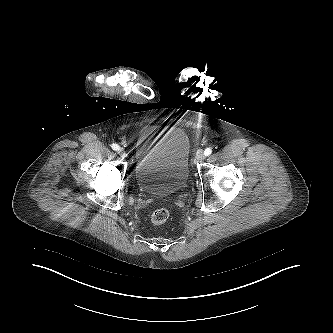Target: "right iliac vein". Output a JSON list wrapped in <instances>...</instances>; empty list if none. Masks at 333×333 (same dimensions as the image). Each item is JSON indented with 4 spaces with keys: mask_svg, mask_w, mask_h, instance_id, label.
Segmentation results:
<instances>
[{
    "mask_svg": "<svg viewBox=\"0 0 333 333\" xmlns=\"http://www.w3.org/2000/svg\"><path fill=\"white\" fill-rule=\"evenodd\" d=\"M118 154H120L123 158H124V149L123 148H120L119 150H118Z\"/></svg>",
    "mask_w": 333,
    "mask_h": 333,
    "instance_id": "1",
    "label": "right iliac vein"
}]
</instances>
